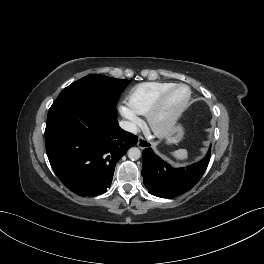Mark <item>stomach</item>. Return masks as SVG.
<instances>
[{
	"instance_id": "obj_1",
	"label": "stomach",
	"mask_w": 264,
	"mask_h": 264,
	"mask_svg": "<svg viewBox=\"0 0 264 264\" xmlns=\"http://www.w3.org/2000/svg\"><path fill=\"white\" fill-rule=\"evenodd\" d=\"M184 131L181 126H176L173 130L167 135L166 141L169 144H176L181 141L183 138Z\"/></svg>"
}]
</instances>
